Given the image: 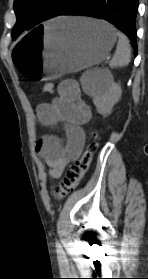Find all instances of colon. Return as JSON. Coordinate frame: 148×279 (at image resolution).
<instances>
[{
  "label": "colon",
  "mask_w": 148,
  "mask_h": 279,
  "mask_svg": "<svg viewBox=\"0 0 148 279\" xmlns=\"http://www.w3.org/2000/svg\"><path fill=\"white\" fill-rule=\"evenodd\" d=\"M43 91L52 94L54 92V84L45 83L43 85ZM97 145L98 134L93 132L88 139V143L81 157L68 166L66 178L59 186L54 188L53 195L55 198L59 200L63 199L78 187L90 168Z\"/></svg>",
  "instance_id": "5ec220e1"
}]
</instances>
